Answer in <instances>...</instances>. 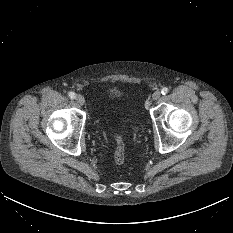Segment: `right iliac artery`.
I'll return each mask as SVG.
<instances>
[{"instance_id": "obj_1", "label": "right iliac artery", "mask_w": 233, "mask_h": 233, "mask_svg": "<svg viewBox=\"0 0 233 233\" xmlns=\"http://www.w3.org/2000/svg\"><path fill=\"white\" fill-rule=\"evenodd\" d=\"M68 96L71 98V99H75V93L74 92H69L68 93Z\"/></svg>"}]
</instances>
